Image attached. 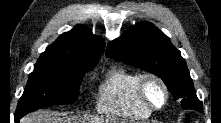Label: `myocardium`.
Wrapping results in <instances>:
<instances>
[{"label": "myocardium", "mask_w": 221, "mask_h": 123, "mask_svg": "<svg viewBox=\"0 0 221 123\" xmlns=\"http://www.w3.org/2000/svg\"><path fill=\"white\" fill-rule=\"evenodd\" d=\"M149 82L157 83L164 92V101L160 106L153 105L146 95V86ZM136 94L140 103L151 112L164 109L170 98V91L165 81L160 76L150 72L140 75L136 84Z\"/></svg>", "instance_id": "f54148a6"}]
</instances>
